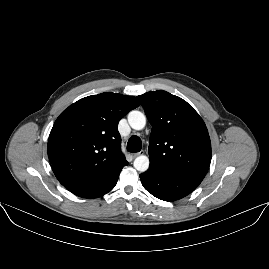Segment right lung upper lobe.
<instances>
[{"instance_id":"1","label":"right lung upper lobe","mask_w":269,"mask_h":269,"mask_svg":"<svg viewBox=\"0 0 269 269\" xmlns=\"http://www.w3.org/2000/svg\"><path fill=\"white\" fill-rule=\"evenodd\" d=\"M139 105L134 96L105 92L82 98L61 113L47 152L63 186L104 177L126 161L118 123Z\"/></svg>"}]
</instances>
